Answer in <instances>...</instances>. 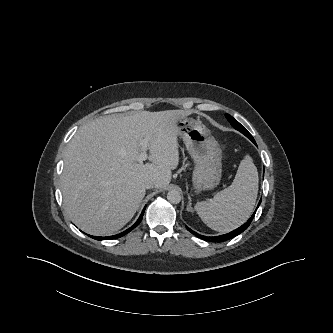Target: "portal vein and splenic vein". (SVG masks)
<instances>
[{"mask_svg": "<svg viewBox=\"0 0 333 333\" xmlns=\"http://www.w3.org/2000/svg\"><path fill=\"white\" fill-rule=\"evenodd\" d=\"M140 145H141V153L138 157V161L142 162L148 158V155H147L148 141L144 139L141 141Z\"/></svg>", "mask_w": 333, "mask_h": 333, "instance_id": "18ae733b", "label": "portal vein and splenic vein"}]
</instances>
